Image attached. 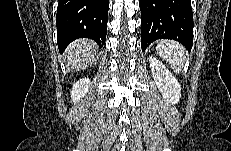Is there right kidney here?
<instances>
[{
  "label": "right kidney",
  "mask_w": 231,
  "mask_h": 151,
  "mask_svg": "<svg viewBox=\"0 0 231 151\" xmlns=\"http://www.w3.org/2000/svg\"><path fill=\"white\" fill-rule=\"evenodd\" d=\"M90 85L91 83L88 78H82L77 81L71 90L72 102L76 103L80 101V99L88 93Z\"/></svg>",
  "instance_id": "obj_1"
}]
</instances>
